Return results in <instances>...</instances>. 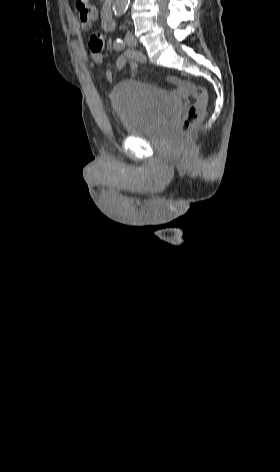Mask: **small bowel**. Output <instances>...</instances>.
Wrapping results in <instances>:
<instances>
[{
    "instance_id": "c3829d8e",
    "label": "small bowel",
    "mask_w": 280,
    "mask_h": 472,
    "mask_svg": "<svg viewBox=\"0 0 280 472\" xmlns=\"http://www.w3.org/2000/svg\"><path fill=\"white\" fill-rule=\"evenodd\" d=\"M89 48L90 65L92 66L94 64H102L104 59L102 54L103 38L99 33L93 34L91 36L89 41ZM126 65L130 67L133 76H136L138 74L137 64L132 59H129L125 54H122L118 57L115 64V68L116 70H121ZM96 78L104 84L111 83L113 80V71L107 70L102 76H96ZM167 80L169 83L176 85L181 91H187L189 89V86L187 84L181 82L176 77L170 76L167 78Z\"/></svg>"
}]
</instances>
